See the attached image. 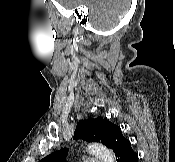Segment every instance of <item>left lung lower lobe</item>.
Returning a JSON list of instances; mask_svg holds the SVG:
<instances>
[{
	"label": "left lung lower lobe",
	"instance_id": "left-lung-lower-lobe-1",
	"mask_svg": "<svg viewBox=\"0 0 175 162\" xmlns=\"http://www.w3.org/2000/svg\"><path fill=\"white\" fill-rule=\"evenodd\" d=\"M117 162H138V155L133 151L131 143L122 136L113 148Z\"/></svg>",
	"mask_w": 175,
	"mask_h": 162
}]
</instances>
